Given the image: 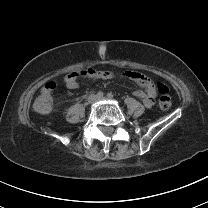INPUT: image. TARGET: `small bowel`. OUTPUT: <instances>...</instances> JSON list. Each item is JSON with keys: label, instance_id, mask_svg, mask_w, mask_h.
<instances>
[{"label": "small bowel", "instance_id": "obj_1", "mask_svg": "<svg viewBox=\"0 0 208 208\" xmlns=\"http://www.w3.org/2000/svg\"><path fill=\"white\" fill-rule=\"evenodd\" d=\"M86 76L93 78V79L108 78L112 76V73L108 70H93L92 67H87L86 71L80 72V77H86ZM125 76L139 84L141 89L137 90L134 93V95L137 98L141 99L143 103L145 104V106L151 107L154 104L156 93L149 78L142 73L130 72V71L125 72ZM66 86L70 89L78 88V84L72 86L66 83Z\"/></svg>", "mask_w": 208, "mask_h": 208}]
</instances>
